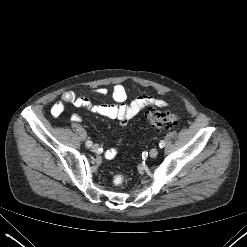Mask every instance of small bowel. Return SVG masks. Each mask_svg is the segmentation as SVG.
<instances>
[{
	"label": "small bowel",
	"mask_w": 247,
	"mask_h": 247,
	"mask_svg": "<svg viewBox=\"0 0 247 247\" xmlns=\"http://www.w3.org/2000/svg\"><path fill=\"white\" fill-rule=\"evenodd\" d=\"M97 93L105 96L108 94V91L106 89H99ZM111 97L113 99V103L111 104H93L87 97L72 91H67L61 95L60 100L52 107L51 112L54 116H58L63 112L65 104L70 103L94 114L116 119L120 122L121 126H125L130 119L137 116L148 106L155 105L164 107L167 105L165 100L154 98L150 95H141L130 103H126L127 92L122 84H117L113 87ZM71 120L80 122L82 117L74 113L71 116ZM116 152V148L107 150L105 152V158H114Z\"/></svg>",
	"instance_id": "obj_1"
}]
</instances>
